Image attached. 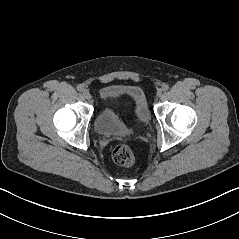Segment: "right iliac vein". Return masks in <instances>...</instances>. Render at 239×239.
Instances as JSON below:
<instances>
[{
	"instance_id": "right-iliac-vein-1",
	"label": "right iliac vein",
	"mask_w": 239,
	"mask_h": 239,
	"mask_svg": "<svg viewBox=\"0 0 239 239\" xmlns=\"http://www.w3.org/2000/svg\"><path fill=\"white\" fill-rule=\"evenodd\" d=\"M82 93H83V96L86 98V99H90L91 98V94H90V92L87 90V89H84L83 91H82Z\"/></svg>"
}]
</instances>
